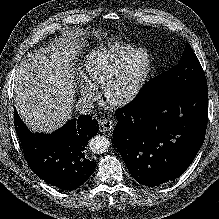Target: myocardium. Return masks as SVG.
<instances>
[{
  "label": "myocardium",
  "mask_w": 219,
  "mask_h": 219,
  "mask_svg": "<svg viewBox=\"0 0 219 219\" xmlns=\"http://www.w3.org/2000/svg\"><path fill=\"white\" fill-rule=\"evenodd\" d=\"M144 56L147 59V67L142 74L140 80L134 86V88L129 91L128 93L116 96L113 92L114 84L117 81L120 72L129 62L133 61L134 59ZM153 71V60L150 54L143 49L135 50L134 52L130 53L126 57L122 58L109 72L107 77L105 78L104 82L101 85V94L103 100L110 106L114 108H123L131 103H133L142 93L144 87L146 86L148 79Z\"/></svg>",
  "instance_id": "1"
}]
</instances>
